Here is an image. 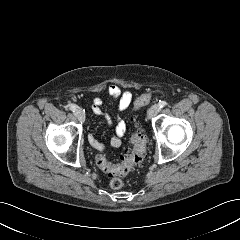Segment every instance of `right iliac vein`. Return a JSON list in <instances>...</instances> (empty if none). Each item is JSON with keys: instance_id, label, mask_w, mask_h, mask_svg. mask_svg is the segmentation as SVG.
<instances>
[{"instance_id": "1", "label": "right iliac vein", "mask_w": 240, "mask_h": 240, "mask_svg": "<svg viewBox=\"0 0 240 240\" xmlns=\"http://www.w3.org/2000/svg\"><path fill=\"white\" fill-rule=\"evenodd\" d=\"M74 114L80 122L85 121V113L81 108H77Z\"/></svg>"}]
</instances>
